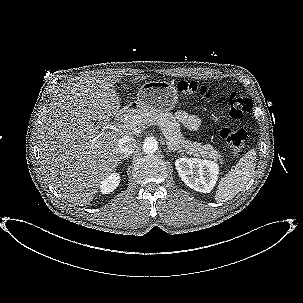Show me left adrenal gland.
<instances>
[{
    "mask_svg": "<svg viewBox=\"0 0 303 303\" xmlns=\"http://www.w3.org/2000/svg\"><path fill=\"white\" fill-rule=\"evenodd\" d=\"M166 145H167L169 152H175V151L180 152V150H178V148L174 147L169 141H166Z\"/></svg>",
    "mask_w": 303,
    "mask_h": 303,
    "instance_id": "left-adrenal-gland-1",
    "label": "left adrenal gland"
}]
</instances>
